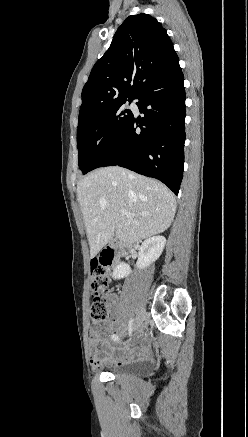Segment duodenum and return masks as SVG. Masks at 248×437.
Segmentation results:
<instances>
[{
	"label": "duodenum",
	"mask_w": 248,
	"mask_h": 437,
	"mask_svg": "<svg viewBox=\"0 0 248 437\" xmlns=\"http://www.w3.org/2000/svg\"><path fill=\"white\" fill-rule=\"evenodd\" d=\"M125 253V248L123 246H114L108 248H100L99 255L100 257H106L111 264H113L118 257L122 256Z\"/></svg>",
	"instance_id": "1"
}]
</instances>
